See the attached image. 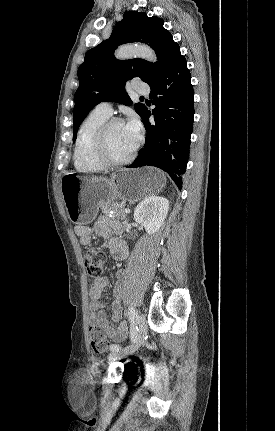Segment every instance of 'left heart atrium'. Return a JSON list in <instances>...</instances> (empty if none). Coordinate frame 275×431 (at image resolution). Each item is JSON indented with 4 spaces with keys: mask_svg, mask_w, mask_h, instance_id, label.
I'll use <instances>...</instances> for the list:
<instances>
[{
    "mask_svg": "<svg viewBox=\"0 0 275 431\" xmlns=\"http://www.w3.org/2000/svg\"><path fill=\"white\" fill-rule=\"evenodd\" d=\"M125 132L132 147L135 148L140 139L141 124L136 116H131L124 124Z\"/></svg>",
    "mask_w": 275,
    "mask_h": 431,
    "instance_id": "obj_1",
    "label": "left heart atrium"
}]
</instances>
